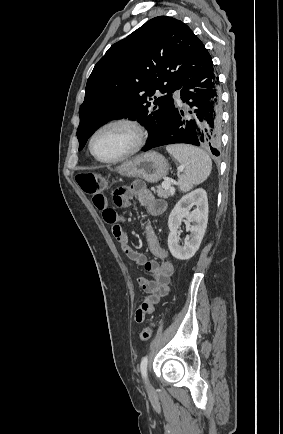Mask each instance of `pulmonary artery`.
Listing matches in <instances>:
<instances>
[{
	"label": "pulmonary artery",
	"instance_id": "obj_1",
	"mask_svg": "<svg viewBox=\"0 0 283 434\" xmlns=\"http://www.w3.org/2000/svg\"><path fill=\"white\" fill-rule=\"evenodd\" d=\"M175 99H179V96L177 94L173 95Z\"/></svg>",
	"mask_w": 283,
	"mask_h": 434
}]
</instances>
